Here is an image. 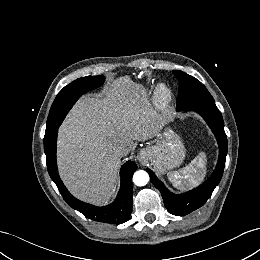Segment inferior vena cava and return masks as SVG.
<instances>
[{
  "mask_svg": "<svg viewBox=\"0 0 260 260\" xmlns=\"http://www.w3.org/2000/svg\"><path fill=\"white\" fill-rule=\"evenodd\" d=\"M113 151L117 156L123 157L129 153V148L124 144H118L113 147Z\"/></svg>",
  "mask_w": 260,
  "mask_h": 260,
  "instance_id": "inferior-vena-cava-1",
  "label": "inferior vena cava"
}]
</instances>
